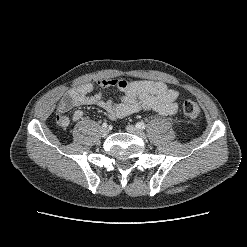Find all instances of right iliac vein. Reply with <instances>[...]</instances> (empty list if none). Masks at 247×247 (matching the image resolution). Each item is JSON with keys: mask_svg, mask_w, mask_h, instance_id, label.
Returning a JSON list of instances; mask_svg holds the SVG:
<instances>
[{"mask_svg": "<svg viewBox=\"0 0 247 247\" xmlns=\"http://www.w3.org/2000/svg\"><path fill=\"white\" fill-rule=\"evenodd\" d=\"M108 134H109V129L108 128H105V127L101 128V135L103 137L107 136Z\"/></svg>", "mask_w": 247, "mask_h": 247, "instance_id": "obj_1", "label": "right iliac vein"}]
</instances>
